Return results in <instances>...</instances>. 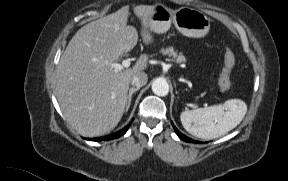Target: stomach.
<instances>
[{"mask_svg":"<svg viewBox=\"0 0 288 181\" xmlns=\"http://www.w3.org/2000/svg\"><path fill=\"white\" fill-rule=\"evenodd\" d=\"M187 37H204L210 29V20L201 11L182 7L172 10L164 5H153V12L150 16V28L155 33H165L171 24Z\"/></svg>","mask_w":288,"mask_h":181,"instance_id":"obj_1","label":"stomach"}]
</instances>
